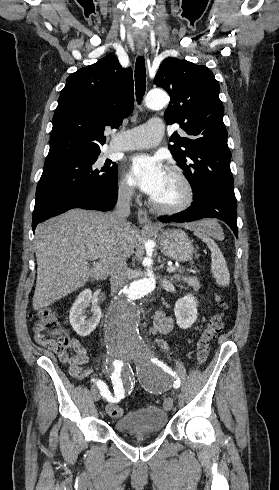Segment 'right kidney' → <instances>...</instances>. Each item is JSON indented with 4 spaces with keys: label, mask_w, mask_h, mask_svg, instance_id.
<instances>
[{
    "label": "right kidney",
    "mask_w": 279,
    "mask_h": 490,
    "mask_svg": "<svg viewBox=\"0 0 279 490\" xmlns=\"http://www.w3.org/2000/svg\"><path fill=\"white\" fill-rule=\"evenodd\" d=\"M91 304L93 316H85V308ZM102 312L100 306L92 298L91 290H83L77 296L72 308L69 312V322L76 334L85 338L90 336L91 332L95 330L101 320Z\"/></svg>",
    "instance_id": "ca27d5eb"
}]
</instances>
